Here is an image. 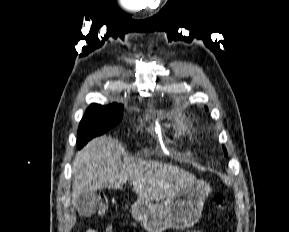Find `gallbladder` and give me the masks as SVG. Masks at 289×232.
<instances>
[{
	"mask_svg": "<svg viewBox=\"0 0 289 232\" xmlns=\"http://www.w3.org/2000/svg\"><path fill=\"white\" fill-rule=\"evenodd\" d=\"M99 206V199L96 194L91 196L81 195L77 201V211L82 216H91L96 213Z\"/></svg>",
	"mask_w": 289,
	"mask_h": 232,
	"instance_id": "1",
	"label": "gallbladder"
}]
</instances>
